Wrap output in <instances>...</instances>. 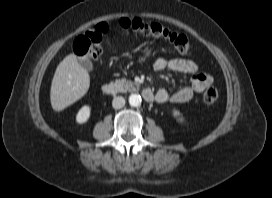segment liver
<instances>
[{
  "instance_id": "liver-1",
  "label": "liver",
  "mask_w": 272,
  "mask_h": 198,
  "mask_svg": "<svg viewBox=\"0 0 272 198\" xmlns=\"http://www.w3.org/2000/svg\"><path fill=\"white\" fill-rule=\"evenodd\" d=\"M90 86V76L74 54L66 56L57 66L51 83L50 102L61 111L83 97Z\"/></svg>"
}]
</instances>
